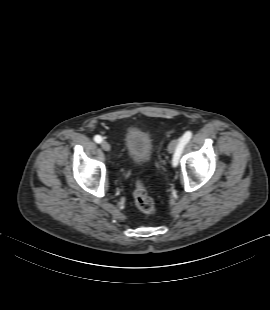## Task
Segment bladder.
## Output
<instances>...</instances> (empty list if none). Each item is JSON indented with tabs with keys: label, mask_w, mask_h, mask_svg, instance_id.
<instances>
[{
	"label": "bladder",
	"mask_w": 270,
	"mask_h": 310,
	"mask_svg": "<svg viewBox=\"0 0 270 310\" xmlns=\"http://www.w3.org/2000/svg\"><path fill=\"white\" fill-rule=\"evenodd\" d=\"M128 158L136 165L148 164L153 155V142L150 135L137 127L129 128L124 138Z\"/></svg>",
	"instance_id": "1"
}]
</instances>
